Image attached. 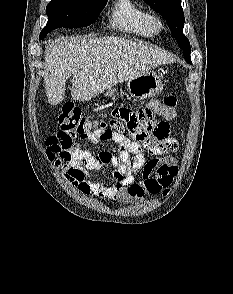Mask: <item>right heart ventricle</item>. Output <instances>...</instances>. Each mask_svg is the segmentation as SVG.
I'll return each instance as SVG.
<instances>
[{
  "mask_svg": "<svg viewBox=\"0 0 233 294\" xmlns=\"http://www.w3.org/2000/svg\"><path fill=\"white\" fill-rule=\"evenodd\" d=\"M109 22L113 28L135 36L149 38L155 34L149 12L134 0H115Z\"/></svg>",
  "mask_w": 233,
  "mask_h": 294,
  "instance_id": "right-heart-ventricle-1",
  "label": "right heart ventricle"
}]
</instances>
